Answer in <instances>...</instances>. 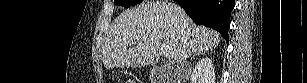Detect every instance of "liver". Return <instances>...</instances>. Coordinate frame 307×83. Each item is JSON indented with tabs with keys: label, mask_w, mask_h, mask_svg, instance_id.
Returning a JSON list of instances; mask_svg holds the SVG:
<instances>
[{
	"label": "liver",
	"mask_w": 307,
	"mask_h": 83,
	"mask_svg": "<svg viewBox=\"0 0 307 83\" xmlns=\"http://www.w3.org/2000/svg\"><path fill=\"white\" fill-rule=\"evenodd\" d=\"M220 41L218 32L197 26L177 4L149 1L115 19L103 45V63L107 68L156 65L167 49L180 64Z\"/></svg>",
	"instance_id": "6515ba94"
}]
</instances>
